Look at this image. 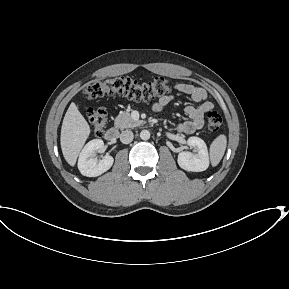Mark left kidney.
<instances>
[{"mask_svg":"<svg viewBox=\"0 0 289 289\" xmlns=\"http://www.w3.org/2000/svg\"><path fill=\"white\" fill-rule=\"evenodd\" d=\"M187 144L193 148V152H180L177 160L179 166L186 171H205L209 167L206 143L201 138L192 136L188 138Z\"/></svg>","mask_w":289,"mask_h":289,"instance_id":"1","label":"left kidney"}]
</instances>
